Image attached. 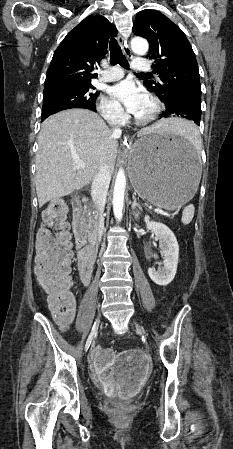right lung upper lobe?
<instances>
[{"mask_svg": "<svg viewBox=\"0 0 233 449\" xmlns=\"http://www.w3.org/2000/svg\"><path fill=\"white\" fill-rule=\"evenodd\" d=\"M115 26L102 16H89L79 23L56 49L47 70L44 92L69 86L91 85L93 69L107 52Z\"/></svg>", "mask_w": 233, "mask_h": 449, "instance_id": "right-lung-upper-lobe-1", "label": "right lung upper lobe"}]
</instances>
